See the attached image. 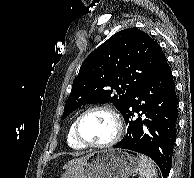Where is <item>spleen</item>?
Instances as JSON below:
<instances>
[{"mask_svg": "<svg viewBox=\"0 0 194 178\" xmlns=\"http://www.w3.org/2000/svg\"><path fill=\"white\" fill-rule=\"evenodd\" d=\"M139 178H157V169L151 159L144 155L139 156Z\"/></svg>", "mask_w": 194, "mask_h": 178, "instance_id": "obj_1", "label": "spleen"}]
</instances>
